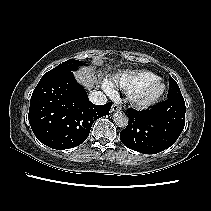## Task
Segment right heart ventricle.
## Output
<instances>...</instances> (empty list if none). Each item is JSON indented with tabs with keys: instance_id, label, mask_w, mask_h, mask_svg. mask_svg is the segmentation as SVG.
<instances>
[{
	"instance_id": "1",
	"label": "right heart ventricle",
	"mask_w": 211,
	"mask_h": 211,
	"mask_svg": "<svg viewBox=\"0 0 211 211\" xmlns=\"http://www.w3.org/2000/svg\"><path fill=\"white\" fill-rule=\"evenodd\" d=\"M158 76L148 70L125 71L114 78V82L126 94H131L145 83L157 78Z\"/></svg>"
}]
</instances>
